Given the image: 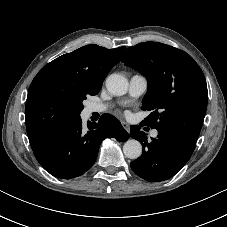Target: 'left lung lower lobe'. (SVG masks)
<instances>
[{"label":"left lung lower lobe","instance_id":"1","mask_svg":"<svg viewBox=\"0 0 227 227\" xmlns=\"http://www.w3.org/2000/svg\"><path fill=\"white\" fill-rule=\"evenodd\" d=\"M130 128V136L143 146L142 155L130 166L138 176L150 182L173 177L188 162L196 146V140L171 129H157V138L148 141L138 125Z\"/></svg>","mask_w":227,"mask_h":227}]
</instances>
